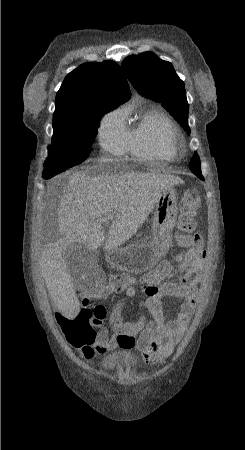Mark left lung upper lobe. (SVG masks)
Masks as SVG:
<instances>
[{
	"mask_svg": "<svg viewBox=\"0 0 245 450\" xmlns=\"http://www.w3.org/2000/svg\"><path fill=\"white\" fill-rule=\"evenodd\" d=\"M122 69L142 96L162 102L171 115L190 133L184 82L178 77L170 62L159 59L151 52H144L125 58ZM189 168L203 179L197 153L193 155Z\"/></svg>",
	"mask_w": 245,
	"mask_h": 450,
	"instance_id": "1",
	"label": "left lung upper lobe"
}]
</instances>
